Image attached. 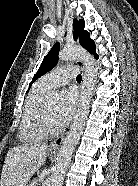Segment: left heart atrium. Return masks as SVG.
<instances>
[{"label": "left heart atrium", "mask_w": 138, "mask_h": 186, "mask_svg": "<svg viewBox=\"0 0 138 186\" xmlns=\"http://www.w3.org/2000/svg\"><path fill=\"white\" fill-rule=\"evenodd\" d=\"M77 97L73 90H65L57 107L56 118L60 127L65 126L74 114Z\"/></svg>", "instance_id": "obj_1"}]
</instances>
